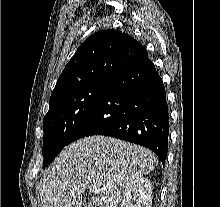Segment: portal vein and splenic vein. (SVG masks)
<instances>
[{"mask_svg":"<svg viewBox=\"0 0 220 207\" xmlns=\"http://www.w3.org/2000/svg\"><path fill=\"white\" fill-rule=\"evenodd\" d=\"M89 191L92 192V193H99L101 190L99 188H96V187L93 186V187L89 188Z\"/></svg>","mask_w":220,"mask_h":207,"instance_id":"obj_1","label":"portal vein and splenic vein"}]
</instances>
